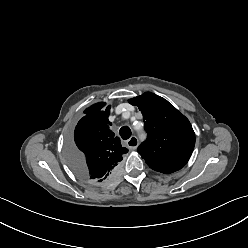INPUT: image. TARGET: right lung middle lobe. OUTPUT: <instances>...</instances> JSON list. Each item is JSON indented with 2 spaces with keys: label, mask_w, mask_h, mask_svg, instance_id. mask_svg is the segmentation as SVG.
Masks as SVG:
<instances>
[{
  "label": "right lung middle lobe",
  "mask_w": 248,
  "mask_h": 248,
  "mask_svg": "<svg viewBox=\"0 0 248 248\" xmlns=\"http://www.w3.org/2000/svg\"><path fill=\"white\" fill-rule=\"evenodd\" d=\"M77 155H78L77 149L74 147V145L72 143H69L67 148H66V157H67V160H68L71 168L73 169V171L76 174H78V171H77V168H76L75 163H74V158Z\"/></svg>",
  "instance_id": "obj_1"
}]
</instances>
